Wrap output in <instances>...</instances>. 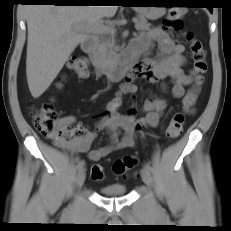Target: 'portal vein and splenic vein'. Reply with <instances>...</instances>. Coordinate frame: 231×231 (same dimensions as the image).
<instances>
[{
  "label": "portal vein and splenic vein",
  "mask_w": 231,
  "mask_h": 231,
  "mask_svg": "<svg viewBox=\"0 0 231 231\" xmlns=\"http://www.w3.org/2000/svg\"><path fill=\"white\" fill-rule=\"evenodd\" d=\"M133 22L134 23H137V19H133ZM95 31L97 33H111V34H114L115 32V29L112 27V26H106V25H98L96 28H95Z\"/></svg>",
  "instance_id": "obj_1"
}]
</instances>
